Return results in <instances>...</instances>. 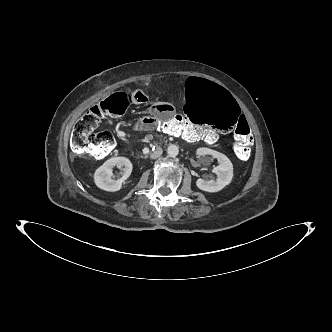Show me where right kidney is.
I'll return each instance as SVG.
<instances>
[{
	"label": "right kidney",
	"instance_id": "right-kidney-1",
	"mask_svg": "<svg viewBox=\"0 0 332 332\" xmlns=\"http://www.w3.org/2000/svg\"><path fill=\"white\" fill-rule=\"evenodd\" d=\"M114 167L123 170L121 178H112ZM132 168V163L128 158L122 156L112 157L97 168L94 173V182L101 190L110 192L119 191L122 183L131 175Z\"/></svg>",
	"mask_w": 332,
	"mask_h": 332
}]
</instances>
